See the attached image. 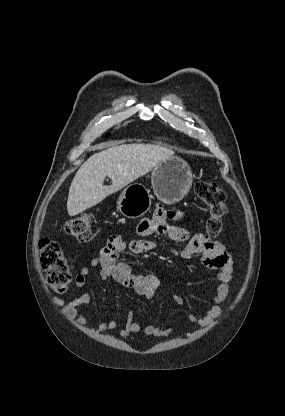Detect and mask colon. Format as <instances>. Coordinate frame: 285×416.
<instances>
[{
	"label": "colon",
	"instance_id": "5ec220e1",
	"mask_svg": "<svg viewBox=\"0 0 285 416\" xmlns=\"http://www.w3.org/2000/svg\"><path fill=\"white\" fill-rule=\"evenodd\" d=\"M195 193L208 209V236H219L223 231V217L227 212L224 191L214 183L200 181L195 186ZM93 222V215L85 213L69 220L65 224V230L78 241L87 242L92 234ZM40 260L47 272L50 287L57 292L65 291L72 281V264L59 244L43 239L40 242Z\"/></svg>",
	"mask_w": 285,
	"mask_h": 416
}]
</instances>
